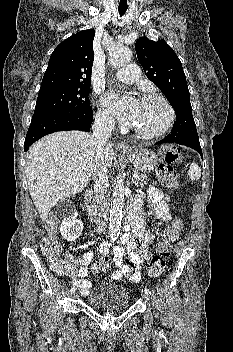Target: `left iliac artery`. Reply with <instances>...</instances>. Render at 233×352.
<instances>
[{
	"instance_id": "obj_1",
	"label": "left iliac artery",
	"mask_w": 233,
	"mask_h": 352,
	"mask_svg": "<svg viewBox=\"0 0 233 352\" xmlns=\"http://www.w3.org/2000/svg\"><path fill=\"white\" fill-rule=\"evenodd\" d=\"M144 292L148 293V294H151V291L148 289V288H145L144 289Z\"/></svg>"
}]
</instances>
